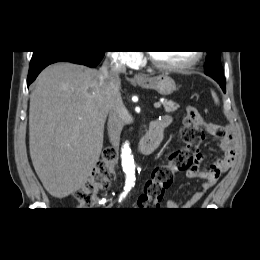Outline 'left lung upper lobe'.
<instances>
[{
  "mask_svg": "<svg viewBox=\"0 0 260 260\" xmlns=\"http://www.w3.org/2000/svg\"><path fill=\"white\" fill-rule=\"evenodd\" d=\"M206 71H222L220 63V51H207V58L204 64Z\"/></svg>",
  "mask_w": 260,
  "mask_h": 260,
  "instance_id": "obj_1",
  "label": "left lung upper lobe"
}]
</instances>
